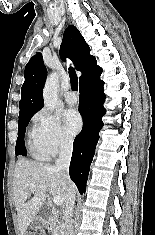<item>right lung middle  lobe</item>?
I'll return each mask as SVG.
<instances>
[{"instance_id":"dd1d6c3e","label":"right lung middle lobe","mask_w":155,"mask_h":235,"mask_svg":"<svg viewBox=\"0 0 155 235\" xmlns=\"http://www.w3.org/2000/svg\"><path fill=\"white\" fill-rule=\"evenodd\" d=\"M33 115L34 114H29V115L19 117L18 138H17L16 148H15L16 155H23V156L27 155V151L24 145V134L26 131V127Z\"/></svg>"}]
</instances>
